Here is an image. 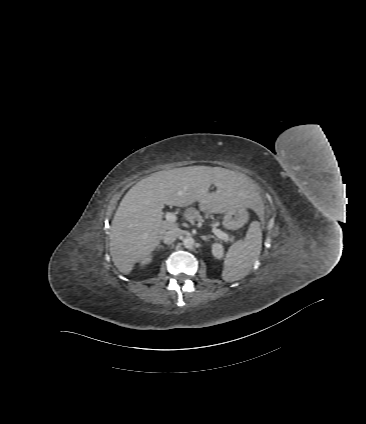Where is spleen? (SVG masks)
<instances>
[{
  "mask_svg": "<svg viewBox=\"0 0 366 424\" xmlns=\"http://www.w3.org/2000/svg\"><path fill=\"white\" fill-rule=\"evenodd\" d=\"M260 226V222L253 221L245 239L237 241L229 247L223 263L222 278L224 281L234 282L249 274L261 253L262 231Z\"/></svg>",
  "mask_w": 366,
  "mask_h": 424,
  "instance_id": "3e777b00",
  "label": "spleen"
}]
</instances>
